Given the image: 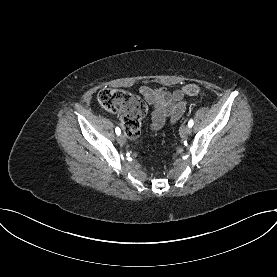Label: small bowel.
<instances>
[{"label": "small bowel", "instance_id": "small-bowel-1", "mask_svg": "<svg viewBox=\"0 0 277 277\" xmlns=\"http://www.w3.org/2000/svg\"><path fill=\"white\" fill-rule=\"evenodd\" d=\"M140 94L153 106L150 129L160 130L166 123L173 124L180 119L186 109L182 90L168 91L166 88L141 86Z\"/></svg>", "mask_w": 277, "mask_h": 277}]
</instances>
